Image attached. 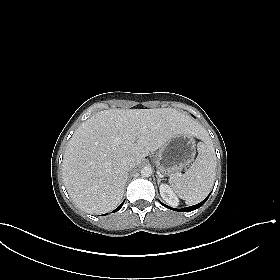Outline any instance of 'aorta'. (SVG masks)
<instances>
[{
    "mask_svg": "<svg viewBox=\"0 0 280 280\" xmlns=\"http://www.w3.org/2000/svg\"><path fill=\"white\" fill-rule=\"evenodd\" d=\"M141 175L143 177H150L152 175V168L145 166L141 169Z\"/></svg>",
    "mask_w": 280,
    "mask_h": 280,
    "instance_id": "762f6f07",
    "label": "aorta"
}]
</instances>
